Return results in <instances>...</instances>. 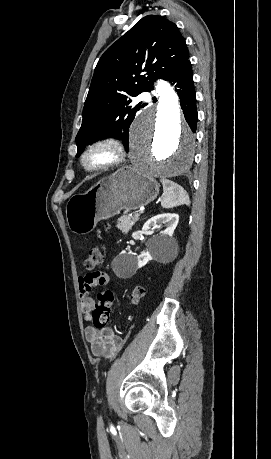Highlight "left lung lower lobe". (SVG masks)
<instances>
[{
    "mask_svg": "<svg viewBox=\"0 0 271 459\" xmlns=\"http://www.w3.org/2000/svg\"><path fill=\"white\" fill-rule=\"evenodd\" d=\"M165 80L175 86V91L180 97L181 108L192 132L196 131L198 113L196 109V94L193 82L192 65L189 58L183 62ZM143 106V105H142Z\"/></svg>",
    "mask_w": 271,
    "mask_h": 459,
    "instance_id": "left-lung-lower-lobe-1",
    "label": "left lung lower lobe"
}]
</instances>
